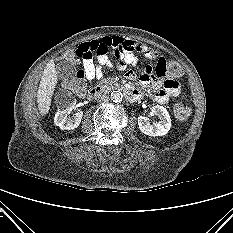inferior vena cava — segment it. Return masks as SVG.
I'll return each mask as SVG.
<instances>
[{
    "mask_svg": "<svg viewBox=\"0 0 233 233\" xmlns=\"http://www.w3.org/2000/svg\"><path fill=\"white\" fill-rule=\"evenodd\" d=\"M109 100V96L108 95H106V94H99L98 95V97H97V101L98 102H103V103H105V102H107Z\"/></svg>",
    "mask_w": 233,
    "mask_h": 233,
    "instance_id": "inferior-vena-cava-1",
    "label": "inferior vena cava"
}]
</instances>
